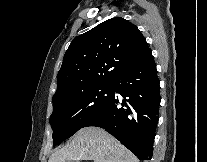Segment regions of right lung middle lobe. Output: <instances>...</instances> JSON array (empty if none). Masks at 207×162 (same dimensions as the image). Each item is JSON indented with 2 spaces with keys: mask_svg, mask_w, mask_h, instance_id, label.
Instances as JSON below:
<instances>
[{
  "mask_svg": "<svg viewBox=\"0 0 207 162\" xmlns=\"http://www.w3.org/2000/svg\"><path fill=\"white\" fill-rule=\"evenodd\" d=\"M113 92V84H108L53 99V113L50 117L53 146L84 127L85 123L110 100Z\"/></svg>",
  "mask_w": 207,
  "mask_h": 162,
  "instance_id": "1",
  "label": "right lung middle lobe"
}]
</instances>
